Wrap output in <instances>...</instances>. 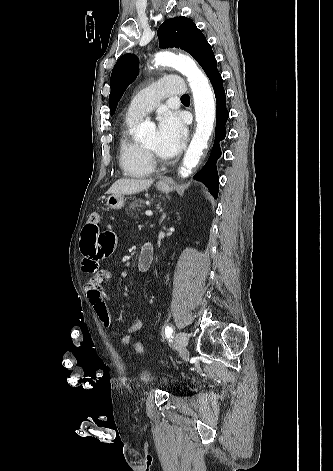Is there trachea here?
Returning <instances> with one entry per match:
<instances>
[{"label":"trachea","mask_w":333,"mask_h":471,"mask_svg":"<svg viewBox=\"0 0 333 471\" xmlns=\"http://www.w3.org/2000/svg\"><path fill=\"white\" fill-rule=\"evenodd\" d=\"M181 99H183V100L189 99V95L185 94L181 97Z\"/></svg>","instance_id":"trachea-1"}]
</instances>
